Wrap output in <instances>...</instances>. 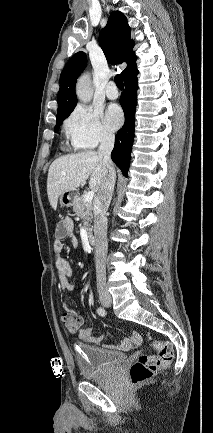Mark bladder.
Returning a JSON list of instances; mask_svg holds the SVG:
<instances>
[{"instance_id": "bladder-1", "label": "bladder", "mask_w": 213, "mask_h": 433, "mask_svg": "<svg viewBox=\"0 0 213 433\" xmlns=\"http://www.w3.org/2000/svg\"><path fill=\"white\" fill-rule=\"evenodd\" d=\"M75 360L80 374L86 379H101L113 373L125 360L123 353L79 344Z\"/></svg>"}]
</instances>
